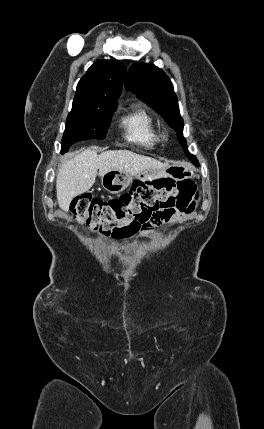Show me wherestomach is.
I'll return each mask as SVG.
<instances>
[{
  "label": "stomach",
  "instance_id": "1",
  "mask_svg": "<svg viewBox=\"0 0 264 429\" xmlns=\"http://www.w3.org/2000/svg\"><path fill=\"white\" fill-rule=\"evenodd\" d=\"M194 175L192 166L187 163H175L162 170H149L136 176L142 182H153L159 179L171 178L176 181L191 178ZM134 177L120 170H111L101 177L102 187L109 193L118 194L124 191Z\"/></svg>",
  "mask_w": 264,
  "mask_h": 429
}]
</instances>
